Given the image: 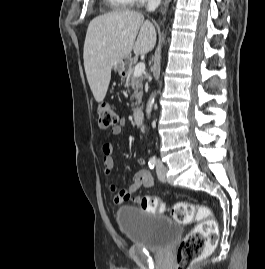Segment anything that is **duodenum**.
<instances>
[{"label":"duodenum","instance_id":"duodenum-1","mask_svg":"<svg viewBox=\"0 0 265 269\" xmlns=\"http://www.w3.org/2000/svg\"><path fill=\"white\" fill-rule=\"evenodd\" d=\"M133 119L135 123L142 124L144 121V110L143 109H136L133 112Z\"/></svg>","mask_w":265,"mask_h":269}]
</instances>
